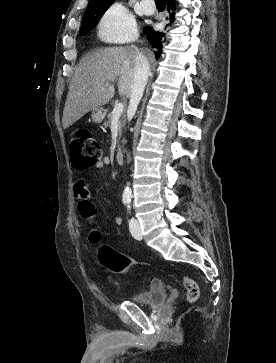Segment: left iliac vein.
<instances>
[{
	"mask_svg": "<svg viewBox=\"0 0 276 363\" xmlns=\"http://www.w3.org/2000/svg\"><path fill=\"white\" fill-rule=\"evenodd\" d=\"M129 230L131 235L135 238L140 240L142 238V233H141V227H140V223L139 221L132 217L129 221Z\"/></svg>",
	"mask_w": 276,
	"mask_h": 363,
	"instance_id": "left-iliac-vein-1",
	"label": "left iliac vein"
}]
</instances>
